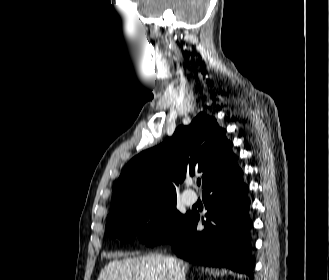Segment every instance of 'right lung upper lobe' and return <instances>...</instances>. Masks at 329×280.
<instances>
[{"instance_id": "right-lung-upper-lobe-1", "label": "right lung upper lobe", "mask_w": 329, "mask_h": 280, "mask_svg": "<svg viewBox=\"0 0 329 280\" xmlns=\"http://www.w3.org/2000/svg\"><path fill=\"white\" fill-rule=\"evenodd\" d=\"M232 145L216 119L200 112L190 125L129 161L115 185L110 212L143 197H176L175 184L186 172H202L205 188L237 164Z\"/></svg>"}]
</instances>
